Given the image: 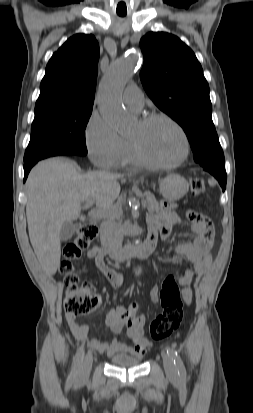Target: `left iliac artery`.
I'll use <instances>...</instances> for the list:
<instances>
[{"instance_id":"left-iliac-artery-1","label":"left iliac artery","mask_w":253,"mask_h":413,"mask_svg":"<svg viewBox=\"0 0 253 413\" xmlns=\"http://www.w3.org/2000/svg\"><path fill=\"white\" fill-rule=\"evenodd\" d=\"M167 353H168V354L171 356V358L173 359L174 364H175V366H176V368H177L179 377H180L181 379H185V378H186V369H185V366H184V364H183V361H182L180 355L178 354V352H177L174 348L169 347V348L167 349Z\"/></svg>"}]
</instances>
